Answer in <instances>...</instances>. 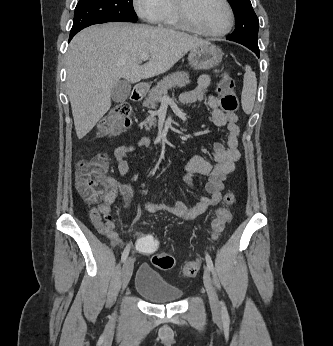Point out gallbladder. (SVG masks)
<instances>
[{
  "instance_id": "1",
  "label": "gallbladder",
  "mask_w": 333,
  "mask_h": 346,
  "mask_svg": "<svg viewBox=\"0 0 333 346\" xmlns=\"http://www.w3.org/2000/svg\"><path fill=\"white\" fill-rule=\"evenodd\" d=\"M131 85L126 80L118 81L111 90V98L114 102H124L130 95Z\"/></svg>"
}]
</instances>
